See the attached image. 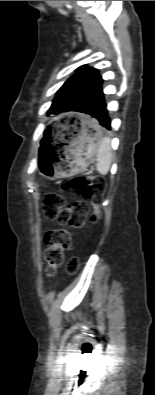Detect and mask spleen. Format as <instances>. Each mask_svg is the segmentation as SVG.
Instances as JSON below:
<instances>
[{
  "label": "spleen",
  "mask_w": 155,
  "mask_h": 395,
  "mask_svg": "<svg viewBox=\"0 0 155 395\" xmlns=\"http://www.w3.org/2000/svg\"><path fill=\"white\" fill-rule=\"evenodd\" d=\"M96 156L97 171L102 175H106L110 169L112 160L111 140L109 137H104L100 140Z\"/></svg>",
  "instance_id": "3e777b00"
}]
</instances>
